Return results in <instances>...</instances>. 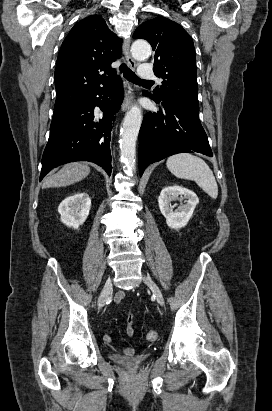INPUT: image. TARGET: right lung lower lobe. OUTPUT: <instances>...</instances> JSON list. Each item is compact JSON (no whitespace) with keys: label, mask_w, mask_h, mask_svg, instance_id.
I'll return each mask as SVG.
<instances>
[{"label":"right lung lower lobe","mask_w":272,"mask_h":411,"mask_svg":"<svg viewBox=\"0 0 272 411\" xmlns=\"http://www.w3.org/2000/svg\"><path fill=\"white\" fill-rule=\"evenodd\" d=\"M123 96L122 81L114 77L107 86L54 110L40 181L54 167L74 161L94 162L111 174V129ZM96 106L100 115L94 111Z\"/></svg>","instance_id":"98d812e1"}]
</instances>
